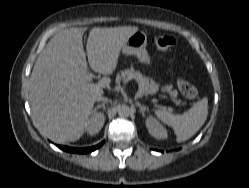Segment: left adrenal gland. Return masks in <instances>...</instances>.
I'll return each instance as SVG.
<instances>
[{
    "label": "left adrenal gland",
    "mask_w": 249,
    "mask_h": 188,
    "mask_svg": "<svg viewBox=\"0 0 249 188\" xmlns=\"http://www.w3.org/2000/svg\"><path fill=\"white\" fill-rule=\"evenodd\" d=\"M136 105L140 108V112L142 113V116L145 117V111H148V107L140 104L139 102H136Z\"/></svg>",
    "instance_id": "a2214340"
}]
</instances>
